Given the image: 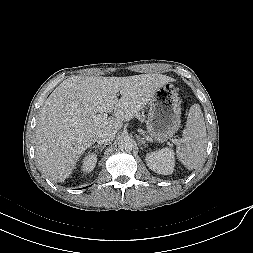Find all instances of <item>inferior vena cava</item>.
I'll return each instance as SVG.
<instances>
[{
    "instance_id": "1",
    "label": "inferior vena cava",
    "mask_w": 253,
    "mask_h": 253,
    "mask_svg": "<svg viewBox=\"0 0 253 253\" xmlns=\"http://www.w3.org/2000/svg\"><path fill=\"white\" fill-rule=\"evenodd\" d=\"M115 134H116L115 130H112L108 127L103 128L99 130L96 136V142L100 145L110 144L113 141Z\"/></svg>"
}]
</instances>
